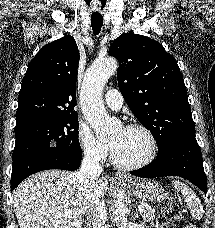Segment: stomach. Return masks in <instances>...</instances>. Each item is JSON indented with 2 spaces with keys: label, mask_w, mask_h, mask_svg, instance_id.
Segmentation results:
<instances>
[{
  "label": "stomach",
  "mask_w": 215,
  "mask_h": 228,
  "mask_svg": "<svg viewBox=\"0 0 215 228\" xmlns=\"http://www.w3.org/2000/svg\"><path fill=\"white\" fill-rule=\"evenodd\" d=\"M126 178L128 182H120L119 186L127 184L133 194L143 202H154L163 192L161 184L155 182V180H129V176H126Z\"/></svg>",
  "instance_id": "obj_1"
}]
</instances>
